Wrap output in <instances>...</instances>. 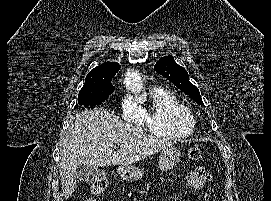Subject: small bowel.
<instances>
[{
  "mask_svg": "<svg viewBox=\"0 0 271 201\" xmlns=\"http://www.w3.org/2000/svg\"><path fill=\"white\" fill-rule=\"evenodd\" d=\"M210 182L211 176L203 167H197L187 175L188 185L195 190L203 189Z\"/></svg>",
  "mask_w": 271,
  "mask_h": 201,
  "instance_id": "1",
  "label": "small bowel"
}]
</instances>
